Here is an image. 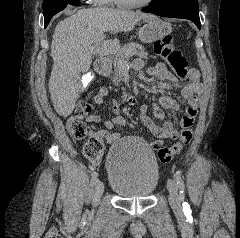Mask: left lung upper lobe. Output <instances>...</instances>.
Instances as JSON below:
<instances>
[{"instance_id":"1","label":"left lung upper lobe","mask_w":240,"mask_h":238,"mask_svg":"<svg viewBox=\"0 0 240 238\" xmlns=\"http://www.w3.org/2000/svg\"><path fill=\"white\" fill-rule=\"evenodd\" d=\"M166 1H169V0H152L151 3L149 4V6L153 7V6H157V5H160Z\"/></svg>"}]
</instances>
